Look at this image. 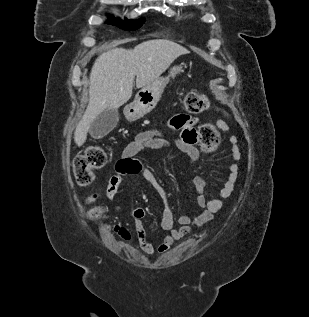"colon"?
<instances>
[{"label":"colon","mask_w":309,"mask_h":317,"mask_svg":"<svg viewBox=\"0 0 309 317\" xmlns=\"http://www.w3.org/2000/svg\"><path fill=\"white\" fill-rule=\"evenodd\" d=\"M182 107L185 111L198 114L206 111L209 107L208 98L201 93L190 92L182 99ZM199 138L202 148L206 151H214L220 142V136L212 124H203L199 128ZM107 159L106 150L99 145L89 146L83 155L75 158L73 171L79 185L88 186L93 182L94 170L102 168ZM94 196L90 197L93 201ZM90 217L99 221L104 218V210L100 207H94L89 212Z\"/></svg>","instance_id":"1"}]
</instances>
